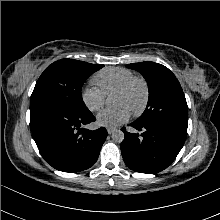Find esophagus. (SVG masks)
<instances>
[{
  "instance_id": "esophagus-1",
  "label": "esophagus",
  "mask_w": 220,
  "mask_h": 220,
  "mask_svg": "<svg viewBox=\"0 0 220 220\" xmlns=\"http://www.w3.org/2000/svg\"><path fill=\"white\" fill-rule=\"evenodd\" d=\"M115 130V128H107L108 134H112Z\"/></svg>"
}]
</instances>
